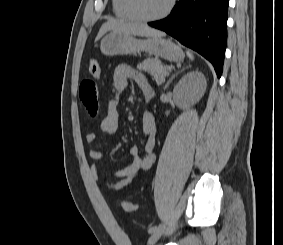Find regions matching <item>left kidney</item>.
I'll list each match as a JSON object with an SVG mask.
<instances>
[{
	"label": "left kidney",
	"mask_w": 283,
	"mask_h": 245,
	"mask_svg": "<svg viewBox=\"0 0 283 245\" xmlns=\"http://www.w3.org/2000/svg\"><path fill=\"white\" fill-rule=\"evenodd\" d=\"M206 86V79L201 72H189L174 87L173 98L180 107L187 108L201 99Z\"/></svg>",
	"instance_id": "left-kidney-1"
}]
</instances>
